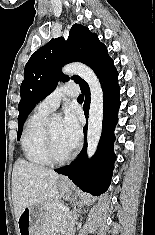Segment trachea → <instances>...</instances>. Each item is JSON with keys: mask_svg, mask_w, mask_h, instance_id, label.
<instances>
[{"mask_svg": "<svg viewBox=\"0 0 155 235\" xmlns=\"http://www.w3.org/2000/svg\"><path fill=\"white\" fill-rule=\"evenodd\" d=\"M83 100H84L83 95H79V96H78V101H83Z\"/></svg>", "mask_w": 155, "mask_h": 235, "instance_id": "obj_1", "label": "trachea"}]
</instances>
